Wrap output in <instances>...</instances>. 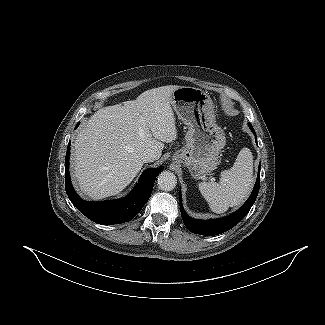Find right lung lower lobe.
<instances>
[{"mask_svg":"<svg viewBox=\"0 0 325 325\" xmlns=\"http://www.w3.org/2000/svg\"><path fill=\"white\" fill-rule=\"evenodd\" d=\"M79 123L77 124V126ZM69 142L65 157V189L70 201L74 206L90 220L98 224H119L133 219L148 201L157 175L162 168L146 170L134 190L124 199L86 202L82 200L73 189L69 176Z\"/></svg>","mask_w":325,"mask_h":325,"instance_id":"1","label":"right lung lower lobe"}]
</instances>
